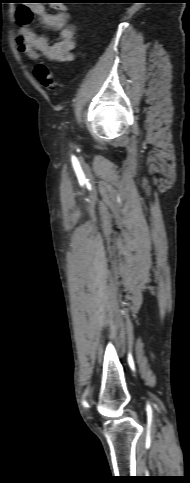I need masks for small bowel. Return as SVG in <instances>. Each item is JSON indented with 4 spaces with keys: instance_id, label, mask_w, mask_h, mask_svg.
I'll use <instances>...</instances> for the list:
<instances>
[{
    "instance_id": "1",
    "label": "small bowel",
    "mask_w": 190,
    "mask_h": 483,
    "mask_svg": "<svg viewBox=\"0 0 190 483\" xmlns=\"http://www.w3.org/2000/svg\"><path fill=\"white\" fill-rule=\"evenodd\" d=\"M33 15L38 16L45 27L57 31L56 42L50 44L47 37L37 35L29 28ZM16 20L21 25L16 44L26 58L36 60L42 54L49 61L57 63L74 60L75 27L70 23V15L65 6L57 4L55 12L48 13L41 4L21 5L16 10Z\"/></svg>"
}]
</instances>
